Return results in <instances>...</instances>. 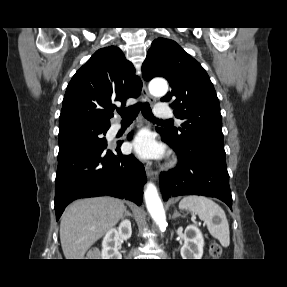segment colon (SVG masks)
<instances>
[{
  "label": "colon",
  "mask_w": 287,
  "mask_h": 287,
  "mask_svg": "<svg viewBox=\"0 0 287 287\" xmlns=\"http://www.w3.org/2000/svg\"><path fill=\"white\" fill-rule=\"evenodd\" d=\"M209 253L212 257L218 258L222 254V247L218 243L212 242L209 245Z\"/></svg>",
  "instance_id": "obj_1"
}]
</instances>
